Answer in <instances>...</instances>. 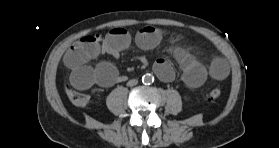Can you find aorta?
<instances>
[{
	"label": "aorta",
	"mask_w": 279,
	"mask_h": 148,
	"mask_svg": "<svg viewBox=\"0 0 279 148\" xmlns=\"http://www.w3.org/2000/svg\"><path fill=\"white\" fill-rule=\"evenodd\" d=\"M153 81H154V77L151 74H145L142 77V82L145 83V84H150Z\"/></svg>",
	"instance_id": "1"
}]
</instances>
